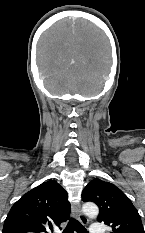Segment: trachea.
Returning <instances> with one entry per match:
<instances>
[{"label": "trachea", "mask_w": 145, "mask_h": 233, "mask_svg": "<svg viewBox=\"0 0 145 233\" xmlns=\"http://www.w3.org/2000/svg\"><path fill=\"white\" fill-rule=\"evenodd\" d=\"M74 231L77 233H88L86 228L80 222L75 219H70L66 228L63 230V233H73Z\"/></svg>", "instance_id": "obj_1"}]
</instances>
